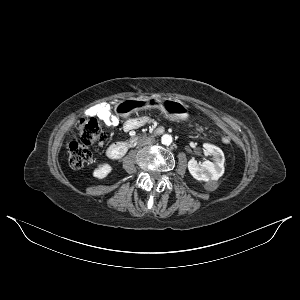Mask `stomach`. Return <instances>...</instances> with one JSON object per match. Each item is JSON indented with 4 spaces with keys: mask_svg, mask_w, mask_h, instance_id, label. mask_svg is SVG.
Here are the masks:
<instances>
[{
    "mask_svg": "<svg viewBox=\"0 0 300 300\" xmlns=\"http://www.w3.org/2000/svg\"><path fill=\"white\" fill-rule=\"evenodd\" d=\"M151 109L157 108L167 118L172 120H185L188 117L187 106L173 99L161 97H147V98H128L119 101L115 105L117 115L127 117L136 109Z\"/></svg>",
    "mask_w": 300,
    "mask_h": 300,
    "instance_id": "1",
    "label": "stomach"
}]
</instances>
